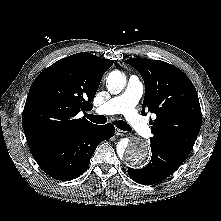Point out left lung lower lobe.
<instances>
[{
    "mask_svg": "<svg viewBox=\"0 0 221 221\" xmlns=\"http://www.w3.org/2000/svg\"><path fill=\"white\" fill-rule=\"evenodd\" d=\"M151 161L142 169L128 168L129 176L139 184H156L173 174L186 160L185 153L162 142L150 141Z\"/></svg>",
    "mask_w": 221,
    "mask_h": 221,
    "instance_id": "1",
    "label": "left lung lower lobe"
}]
</instances>
